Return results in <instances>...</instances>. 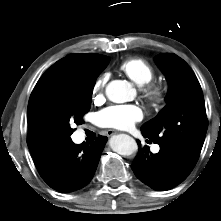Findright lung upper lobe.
<instances>
[{
    "instance_id": "1",
    "label": "right lung upper lobe",
    "mask_w": 221,
    "mask_h": 221,
    "mask_svg": "<svg viewBox=\"0 0 221 221\" xmlns=\"http://www.w3.org/2000/svg\"><path fill=\"white\" fill-rule=\"evenodd\" d=\"M105 58L106 56L100 54H70L53 64L41 76L31 93L28 103L27 120L30 119L34 108L40 100L54 87L58 86L66 77L79 68L101 62ZM31 154L34 155L36 153L31 152Z\"/></svg>"
}]
</instances>
